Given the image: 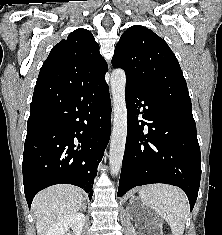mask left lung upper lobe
<instances>
[{
	"instance_id": "obj_1",
	"label": "left lung upper lobe",
	"mask_w": 222,
	"mask_h": 235,
	"mask_svg": "<svg viewBox=\"0 0 222 235\" xmlns=\"http://www.w3.org/2000/svg\"><path fill=\"white\" fill-rule=\"evenodd\" d=\"M126 73V84L149 96L192 112L187 84L177 58L152 30L134 25L120 37L112 58Z\"/></svg>"
}]
</instances>
